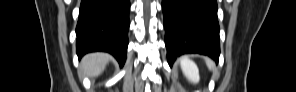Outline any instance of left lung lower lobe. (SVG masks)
<instances>
[{
  "label": "left lung lower lobe",
  "mask_w": 296,
  "mask_h": 92,
  "mask_svg": "<svg viewBox=\"0 0 296 92\" xmlns=\"http://www.w3.org/2000/svg\"><path fill=\"white\" fill-rule=\"evenodd\" d=\"M162 9L169 65L184 53L219 59L216 0H162Z\"/></svg>",
  "instance_id": "obj_1"
}]
</instances>
